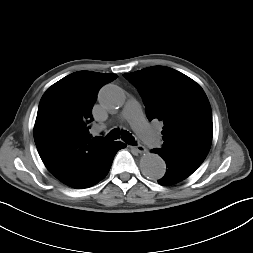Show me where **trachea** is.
I'll return each instance as SVG.
<instances>
[{"label": "trachea", "mask_w": 253, "mask_h": 253, "mask_svg": "<svg viewBox=\"0 0 253 253\" xmlns=\"http://www.w3.org/2000/svg\"><path fill=\"white\" fill-rule=\"evenodd\" d=\"M121 136V139L129 144V145H136V142L134 140V137L132 136L131 133H129L128 131L126 130H122L120 131L118 128H115L113 130H111L105 137V141L108 142V141H113V140H116V139H119Z\"/></svg>", "instance_id": "1"}]
</instances>
